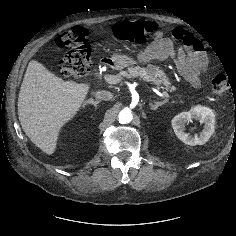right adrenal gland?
Masks as SVG:
<instances>
[{
	"mask_svg": "<svg viewBox=\"0 0 236 236\" xmlns=\"http://www.w3.org/2000/svg\"><path fill=\"white\" fill-rule=\"evenodd\" d=\"M99 103H100V100H93V99L87 100V101L85 102L86 105H89V104L93 105L94 108H95V110H96L97 105H98Z\"/></svg>",
	"mask_w": 236,
	"mask_h": 236,
	"instance_id": "obj_1",
	"label": "right adrenal gland"
}]
</instances>
